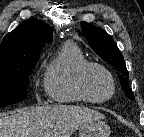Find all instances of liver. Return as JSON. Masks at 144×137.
Masks as SVG:
<instances>
[{
    "label": "liver",
    "mask_w": 144,
    "mask_h": 137,
    "mask_svg": "<svg viewBox=\"0 0 144 137\" xmlns=\"http://www.w3.org/2000/svg\"><path fill=\"white\" fill-rule=\"evenodd\" d=\"M103 119L102 113L79 106L25 107L0 116V137H70Z\"/></svg>",
    "instance_id": "liver-1"
}]
</instances>
